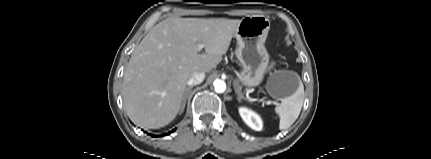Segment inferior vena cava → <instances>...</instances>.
Returning a JSON list of instances; mask_svg holds the SVG:
<instances>
[{"label": "inferior vena cava", "instance_id": "1", "mask_svg": "<svg viewBox=\"0 0 431 159\" xmlns=\"http://www.w3.org/2000/svg\"><path fill=\"white\" fill-rule=\"evenodd\" d=\"M205 78V73L203 72H194L191 74L190 78L187 81V84L189 86H194V85H198L201 82H203Z\"/></svg>", "mask_w": 431, "mask_h": 159}]
</instances>
